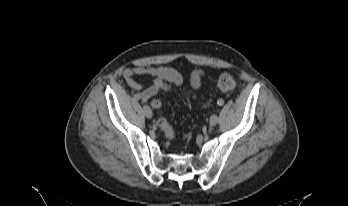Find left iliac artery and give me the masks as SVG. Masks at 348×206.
<instances>
[{
	"mask_svg": "<svg viewBox=\"0 0 348 206\" xmlns=\"http://www.w3.org/2000/svg\"><path fill=\"white\" fill-rule=\"evenodd\" d=\"M218 105H223V100H218Z\"/></svg>",
	"mask_w": 348,
	"mask_h": 206,
	"instance_id": "44dca946",
	"label": "left iliac artery"
}]
</instances>
